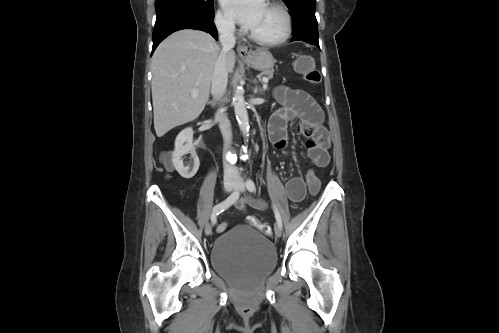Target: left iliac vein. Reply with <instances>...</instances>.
Listing matches in <instances>:
<instances>
[{"label": "left iliac vein", "mask_w": 499, "mask_h": 333, "mask_svg": "<svg viewBox=\"0 0 499 333\" xmlns=\"http://www.w3.org/2000/svg\"><path fill=\"white\" fill-rule=\"evenodd\" d=\"M234 188L235 190L239 191V192H245V183L244 181L242 180L241 177H237L236 180H235V184H234ZM274 232H275V236L276 237H281L282 235V229L280 228L279 225H275L274 227Z\"/></svg>", "instance_id": "obj_1"}]
</instances>
